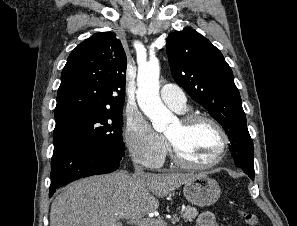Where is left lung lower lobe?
<instances>
[{"mask_svg": "<svg viewBox=\"0 0 297 226\" xmlns=\"http://www.w3.org/2000/svg\"><path fill=\"white\" fill-rule=\"evenodd\" d=\"M252 180H254V168H241Z\"/></svg>", "mask_w": 297, "mask_h": 226, "instance_id": "left-lung-lower-lobe-1", "label": "left lung lower lobe"}]
</instances>
